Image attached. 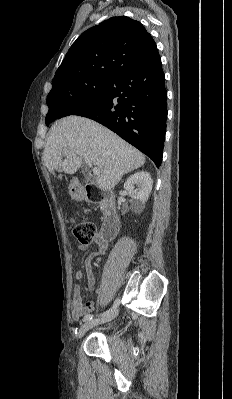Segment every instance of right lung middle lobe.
<instances>
[{
    "label": "right lung middle lobe",
    "instance_id": "1",
    "mask_svg": "<svg viewBox=\"0 0 232 399\" xmlns=\"http://www.w3.org/2000/svg\"><path fill=\"white\" fill-rule=\"evenodd\" d=\"M110 78L92 79L75 84L62 93L48 95L49 111L46 115V125L58 119L60 115L72 107L87 104L101 97L106 90Z\"/></svg>",
    "mask_w": 232,
    "mask_h": 399
}]
</instances>
